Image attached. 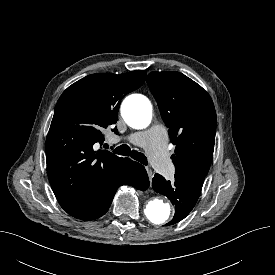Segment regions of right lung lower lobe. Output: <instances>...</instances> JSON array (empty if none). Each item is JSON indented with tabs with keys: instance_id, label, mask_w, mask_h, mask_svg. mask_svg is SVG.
<instances>
[{
	"instance_id": "obj_1",
	"label": "right lung lower lobe",
	"mask_w": 275,
	"mask_h": 275,
	"mask_svg": "<svg viewBox=\"0 0 275 275\" xmlns=\"http://www.w3.org/2000/svg\"><path fill=\"white\" fill-rule=\"evenodd\" d=\"M123 184L131 185L142 191L146 190L149 187V179L144 166L126 158L123 167L116 174L106 191L93 202L86 212L76 216V218L94 220L103 216L108 211L116 190Z\"/></svg>"
}]
</instances>
